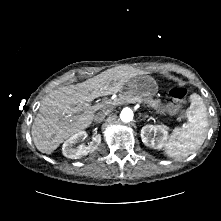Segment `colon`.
I'll return each instance as SVG.
<instances>
[{
  "label": "colon",
  "mask_w": 221,
  "mask_h": 221,
  "mask_svg": "<svg viewBox=\"0 0 221 221\" xmlns=\"http://www.w3.org/2000/svg\"><path fill=\"white\" fill-rule=\"evenodd\" d=\"M187 90L184 87H173L169 91V96L174 100L178 102H183L186 98Z\"/></svg>",
  "instance_id": "5ec220e1"
}]
</instances>
